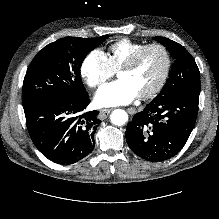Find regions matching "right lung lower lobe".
Returning <instances> with one entry per match:
<instances>
[{
	"instance_id": "obj_1",
	"label": "right lung lower lobe",
	"mask_w": 219,
	"mask_h": 219,
	"mask_svg": "<svg viewBox=\"0 0 219 219\" xmlns=\"http://www.w3.org/2000/svg\"><path fill=\"white\" fill-rule=\"evenodd\" d=\"M89 96L45 97L24 107L27 128L37 149L49 160L72 164L94 148L98 111L85 112Z\"/></svg>"
}]
</instances>
